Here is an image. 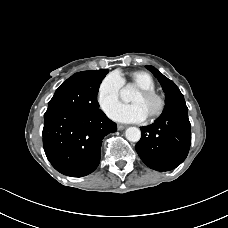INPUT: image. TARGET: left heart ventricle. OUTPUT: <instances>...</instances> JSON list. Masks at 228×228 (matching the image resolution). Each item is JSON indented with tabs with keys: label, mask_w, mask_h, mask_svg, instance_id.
Instances as JSON below:
<instances>
[{
	"label": "left heart ventricle",
	"mask_w": 228,
	"mask_h": 228,
	"mask_svg": "<svg viewBox=\"0 0 228 228\" xmlns=\"http://www.w3.org/2000/svg\"><path fill=\"white\" fill-rule=\"evenodd\" d=\"M131 102L134 104H139L143 108L147 116L152 114L157 109V106H158V103L156 100L147 99L143 97L139 92L135 93V95L131 99Z\"/></svg>",
	"instance_id": "1"
}]
</instances>
